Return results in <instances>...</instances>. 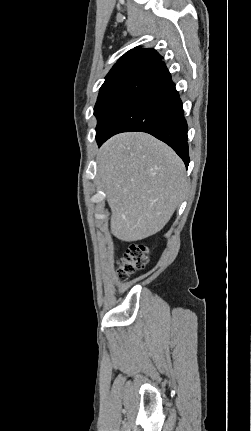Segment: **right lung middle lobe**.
Masks as SVG:
<instances>
[{"instance_id":"1","label":"right lung middle lobe","mask_w":251,"mask_h":431,"mask_svg":"<svg viewBox=\"0 0 251 431\" xmlns=\"http://www.w3.org/2000/svg\"><path fill=\"white\" fill-rule=\"evenodd\" d=\"M147 67L144 64L128 65L106 78L100 88L94 108V115L98 120L96 138L105 131L124 100L136 87Z\"/></svg>"}]
</instances>
